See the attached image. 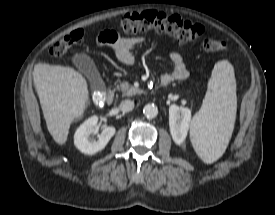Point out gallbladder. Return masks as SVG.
I'll list each match as a JSON object with an SVG mask.
<instances>
[{"label":"gallbladder","mask_w":275,"mask_h":215,"mask_svg":"<svg viewBox=\"0 0 275 215\" xmlns=\"http://www.w3.org/2000/svg\"><path fill=\"white\" fill-rule=\"evenodd\" d=\"M72 62L80 73L90 82L92 89H102L104 82L93 59L86 53H76L72 57Z\"/></svg>","instance_id":"1"}]
</instances>
